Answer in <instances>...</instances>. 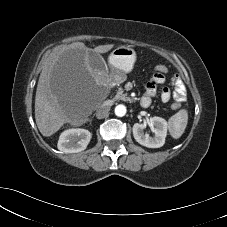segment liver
Listing matches in <instances>:
<instances>
[{
	"instance_id": "6515ba94",
	"label": "liver",
	"mask_w": 227,
	"mask_h": 227,
	"mask_svg": "<svg viewBox=\"0 0 227 227\" xmlns=\"http://www.w3.org/2000/svg\"><path fill=\"white\" fill-rule=\"evenodd\" d=\"M114 44L89 49L74 42L53 52L40 74L35 96V120L40 133L51 136L71 121L72 100H77L83 85L99 81V73L89 63V52L103 54Z\"/></svg>"
}]
</instances>
